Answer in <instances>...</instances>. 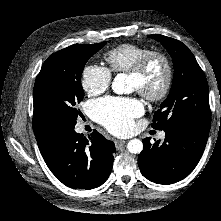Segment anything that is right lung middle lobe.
<instances>
[{"label": "right lung middle lobe", "instance_id": "obj_1", "mask_svg": "<svg viewBox=\"0 0 221 221\" xmlns=\"http://www.w3.org/2000/svg\"><path fill=\"white\" fill-rule=\"evenodd\" d=\"M106 42L72 45L52 54L36 77L33 100L52 125L73 126L84 97L81 74L90 57Z\"/></svg>", "mask_w": 221, "mask_h": 221}]
</instances>
